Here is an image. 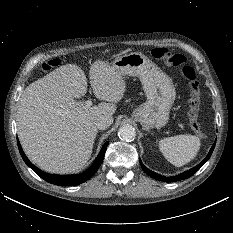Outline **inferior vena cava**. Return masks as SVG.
Here are the masks:
<instances>
[{
  "label": "inferior vena cava",
  "mask_w": 233,
  "mask_h": 233,
  "mask_svg": "<svg viewBox=\"0 0 233 233\" xmlns=\"http://www.w3.org/2000/svg\"><path fill=\"white\" fill-rule=\"evenodd\" d=\"M113 122V118L108 115H102L98 117L95 121V125L100 130L107 129Z\"/></svg>",
  "instance_id": "obj_1"
}]
</instances>
